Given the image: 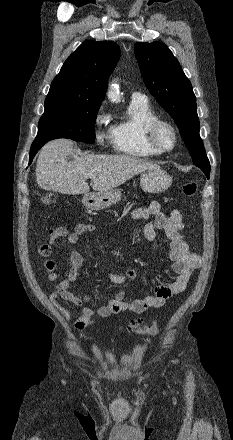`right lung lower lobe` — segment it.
Here are the masks:
<instances>
[{
	"mask_svg": "<svg viewBox=\"0 0 233 440\" xmlns=\"http://www.w3.org/2000/svg\"><path fill=\"white\" fill-rule=\"evenodd\" d=\"M47 141H34L31 150H30V157H29V164L32 162L34 156L38 152V150L46 143Z\"/></svg>",
	"mask_w": 233,
	"mask_h": 440,
	"instance_id": "right-lung-lower-lobe-1",
	"label": "right lung lower lobe"
}]
</instances>
